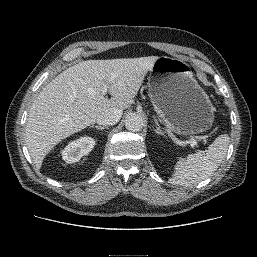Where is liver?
Instances as JSON below:
<instances>
[{"label": "liver", "mask_w": 257, "mask_h": 257, "mask_svg": "<svg viewBox=\"0 0 257 257\" xmlns=\"http://www.w3.org/2000/svg\"><path fill=\"white\" fill-rule=\"evenodd\" d=\"M157 58L87 60L46 85L31 105L25 131L36 167L41 168L45 156L59 142L93 124L101 112L129 108ZM104 87L110 99L102 94Z\"/></svg>", "instance_id": "liver-1"}]
</instances>
